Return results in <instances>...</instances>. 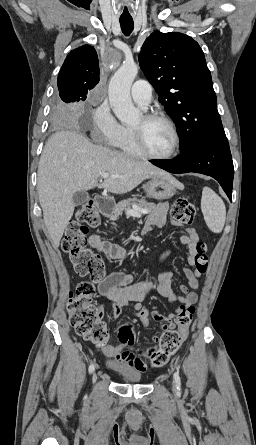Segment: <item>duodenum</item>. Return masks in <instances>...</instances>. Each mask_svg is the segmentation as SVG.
I'll use <instances>...</instances> for the list:
<instances>
[{
	"label": "duodenum",
	"mask_w": 256,
	"mask_h": 445,
	"mask_svg": "<svg viewBox=\"0 0 256 445\" xmlns=\"http://www.w3.org/2000/svg\"><path fill=\"white\" fill-rule=\"evenodd\" d=\"M113 202L101 195L96 196V208L101 216H108L113 209Z\"/></svg>",
	"instance_id": "duodenum-1"
}]
</instances>
